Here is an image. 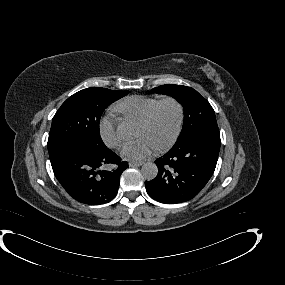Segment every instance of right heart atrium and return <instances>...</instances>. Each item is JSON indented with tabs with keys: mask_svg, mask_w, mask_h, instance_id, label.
<instances>
[{
	"mask_svg": "<svg viewBox=\"0 0 285 285\" xmlns=\"http://www.w3.org/2000/svg\"><path fill=\"white\" fill-rule=\"evenodd\" d=\"M100 133L104 142L110 147L118 146L122 141V134L117 128V119L108 115L100 124Z\"/></svg>",
	"mask_w": 285,
	"mask_h": 285,
	"instance_id": "1",
	"label": "right heart atrium"
}]
</instances>
